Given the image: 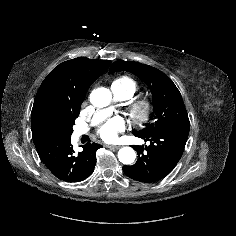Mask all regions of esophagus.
Instances as JSON below:
<instances>
[{"mask_svg": "<svg viewBox=\"0 0 236 236\" xmlns=\"http://www.w3.org/2000/svg\"><path fill=\"white\" fill-rule=\"evenodd\" d=\"M107 147L111 148V149H119L121 146H119V145H108Z\"/></svg>", "mask_w": 236, "mask_h": 236, "instance_id": "esophagus-1", "label": "esophagus"}]
</instances>
